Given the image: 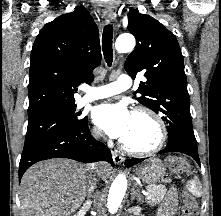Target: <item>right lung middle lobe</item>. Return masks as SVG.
Wrapping results in <instances>:
<instances>
[{"mask_svg": "<svg viewBox=\"0 0 221 216\" xmlns=\"http://www.w3.org/2000/svg\"><path fill=\"white\" fill-rule=\"evenodd\" d=\"M24 149H28L54 135L79 126L85 118L78 119L75 104L43 110L28 115Z\"/></svg>", "mask_w": 221, "mask_h": 216, "instance_id": "1", "label": "right lung middle lobe"}]
</instances>
